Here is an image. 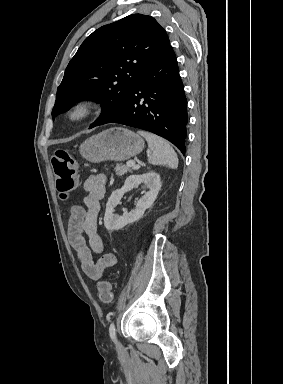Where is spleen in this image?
I'll use <instances>...</instances> for the list:
<instances>
[{
	"label": "spleen",
	"mask_w": 283,
	"mask_h": 384,
	"mask_svg": "<svg viewBox=\"0 0 283 384\" xmlns=\"http://www.w3.org/2000/svg\"><path fill=\"white\" fill-rule=\"evenodd\" d=\"M138 134L145 138L149 150L153 152L148 158L149 164H153V166H167V168H172V170L178 168L177 154H175L173 148L169 146L166 140L155 136V134H149V132H138Z\"/></svg>",
	"instance_id": "3e777b00"
}]
</instances>
